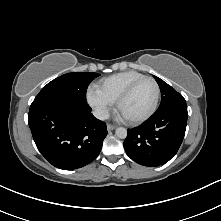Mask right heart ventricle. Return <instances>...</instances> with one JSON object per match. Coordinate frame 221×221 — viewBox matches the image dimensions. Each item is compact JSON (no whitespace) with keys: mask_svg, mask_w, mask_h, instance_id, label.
<instances>
[{"mask_svg":"<svg viewBox=\"0 0 221 221\" xmlns=\"http://www.w3.org/2000/svg\"><path fill=\"white\" fill-rule=\"evenodd\" d=\"M142 76L144 75L133 70L113 74L102 79L96 89L107 100L114 103L129 84Z\"/></svg>","mask_w":221,"mask_h":221,"instance_id":"right-heart-ventricle-1","label":"right heart ventricle"}]
</instances>
